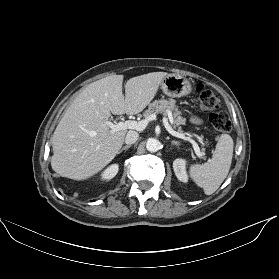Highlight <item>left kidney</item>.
<instances>
[{"instance_id":"5707ae66","label":"left kidney","mask_w":279,"mask_h":279,"mask_svg":"<svg viewBox=\"0 0 279 279\" xmlns=\"http://www.w3.org/2000/svg\"><path fill=\"white\" fill-rule=\"evenodd\" d=\"M173 169H174L176 177L180 181H182L184 183L188 182V175L186 172V161L184 159H176L173 162Z\"/></svg>"}]
</instances>
